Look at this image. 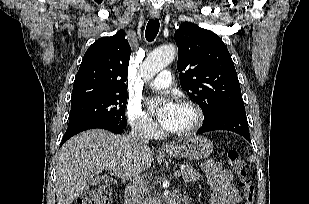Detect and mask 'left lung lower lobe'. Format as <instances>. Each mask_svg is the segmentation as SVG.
<instances>
[{
	"mask_svg": "<svg viewBox=\"0 0 309 204\" xmlns=\"http://www.w3.org/2000/svg\"><path fill=\"white\" fill-rule=\"evenodd\" d=\"M214 130L232 131L251 142L244 104L226 106L205 117L197 134Z\"/></svg>",
	"mask_w": 309,
	"mask_h": 204,
	"instance_id": "left-lung-lower-lobe-1",
	"label": "left lung lower lobe"
}]
</instances>
